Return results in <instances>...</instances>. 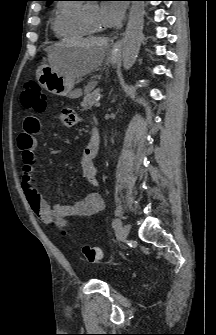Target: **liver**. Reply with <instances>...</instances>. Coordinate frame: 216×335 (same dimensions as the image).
Wrapping results in <instances>:
<instances>
[{"instance_id": "1", "label": "liver", "mask_w": 216, "mask_h": 335, "mask_svg": "<svg viewBox=\"0 0 216 335\" xmlns=\"http://www.w3.org/2000/svg\"><path fill=\"white\" fill-rule=\"evenodd\" d=\"M57 45H69L78 48V51L62 68L63 72L73 78H78L93 72L103 63L108 47V39L90 38L72 43L64 40Z\"/></svg>"}]
</instances>
